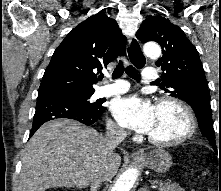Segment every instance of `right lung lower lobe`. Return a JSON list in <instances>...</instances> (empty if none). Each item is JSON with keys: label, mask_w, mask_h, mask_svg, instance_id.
I'll list each match as a JSON object with an SVG mask.
<instances>
[{"label": "right lung lower lobe", "mask_w": 221, "mask_h": 191, "mask_svg": "<svg viewBox=\"0 0 221 191\" xmlns=\"http://www.w3.org/2000/svg\"><path fill=\"white\" fill-rule=\"evenodd\" d=\"M105 110L106 107L102 106L98 110L88 111L71 93L68 92H40L38 93L30 137L43 123L58 118L73 119L83 124L91 125L100 119Z\"/></svg>", "instance_id": "98d812e1"}]
</instances>
